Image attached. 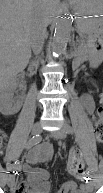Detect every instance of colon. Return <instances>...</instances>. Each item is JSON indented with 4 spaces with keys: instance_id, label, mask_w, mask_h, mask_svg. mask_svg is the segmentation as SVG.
<instances>
[{
    "instance_id": "5ec220e1",
    "label": "colon",
    "mask_w": 103,
    "mask_h": 193,
    "mask_svg": "<svg viewBox=\"0 0 103 193\" xmlns=\"http://www.w3.org/2000/svg\"><path fill=\"white\" fill-rule=\"evenodd\" d=\"M96 138L98 142H103V122H102V108L98 109V116L95 122ZM3 141V135L1 134L0 143ZM68 169L74 174H83L85 171V162L82 154L79 151H74L70 156L68 162Z\"/></svg>"
}]
</instances>
